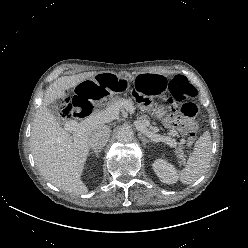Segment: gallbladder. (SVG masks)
<instances>
[{
	"label": "gallbladder",
	"mask_w": 248,
	"mask_h": 248,
	"mask_svg": "<svg viewBox=\"0 0 248 248\" xmlns=\"http://www.w3.org/2000/svg\"><path fill=\"white\" fill-rule=\"evenodd\" d=\"M47 109H48L49 112L58 120V122L61 121L60 114H59L57 108H56L53 104H49V105L47 106Z\"/></svg>",
	"instance_id": "bac80fb5"
}]
</instances>
